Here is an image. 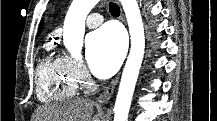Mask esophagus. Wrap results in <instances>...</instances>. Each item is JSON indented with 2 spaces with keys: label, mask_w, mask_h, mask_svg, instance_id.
<instances>
[{
  "label": "esophagus",
  "mask_w": 217,
  "mask_h": 121,
  "mask_svg": "<svg viewBox=\"0 0 217 121\" xmlns=\"http://www.w3.org/2000/svg\"><path fill=\"white\" fill-rule=\"evenodd\" d=\"M121 16L124 20L122 11H121ZM118 81H119V74L111 81V83L104 89V91L99 96L98 102L100 104H108V102L110 101L111 97L114 94Z\"/></svg>",
  "instance_id": "esophagus-1"
}]
</instances>
